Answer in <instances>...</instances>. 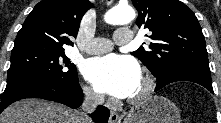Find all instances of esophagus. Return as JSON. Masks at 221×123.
<instances>
[{"label": "esophagus", "mask_w": 221, "mask_h": 123, "mask_svg": "<svg viewBox=\"0 0 221 123\" xmlns=\"http://www.w3.org/2000/svg\"><path fill=\"white\" fill-rule=\"evenodd\" d=\"M120 121V117L117 112L111 111L110 117H109V123H117Z\"/></svg>", "instance_id": "34e87169"}]
</instances>
